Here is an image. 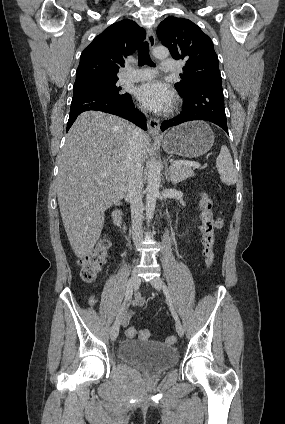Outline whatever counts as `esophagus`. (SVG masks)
Wrapping results in <instances>:
<instances>
[{
    "label": "esophagus",
    "mask_w": 285,
    "mask_h": 424,
    "mask_svg": "<svg viewBox=\"0 0 285 424\" xmlns=\"http://www.w3.org/2000/svg\"><path fill=\"white\" fill-rule=\"evenodd\" d=\"M147 40H148L150 49L153 50L155 47L156 40H155L154 32L151 29L147 31ZM147 125H148V131L152 136L160 135V123L157 119H153V118L148 119Z\"/></svg>",
    "instance_id": "34e87169"
}]
</instances>
